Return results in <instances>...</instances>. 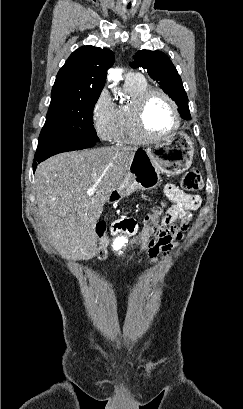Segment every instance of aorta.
I'll use <instances>...</instances> for the list:
<instances>
[{
	"label": "aorta",
	"instance_id": "762f6f07",
	"mask_svg": "<svg viewBox=\"0 0 243 409\" xmlns=\"http://www.w3.org/2000/svg\"><path fill=\"white\" fill-rule=\"evenodd\" d=\"M108 78L114 81L113 86H115L122 79V70L121 69H112L109 71ZM126 242V238L123 236H118L115 241V247H121Z\"/></svg>",
	"mask_w": 243,
	"mask_h": 409
}]
</instances>
